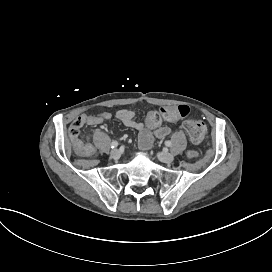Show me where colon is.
<instances>
[{
  "mask_svg": "<svg viewBox=\"0 0 272 272\" xmlns=\"http://www.w3.org/2000/svg\"><path fill=\"white\" fill-rule=\"evenodd\" d=\"M177 113L181 117H187L189 113V107L187 105H179L177 107ZM81 122L77 121L71 127L70 136H76L79 133V127ZM184 128L189 135L193 143L199 144L202 141L204 135V123L198 117H190L184 120Z\"/></svg>",
  "mask_w": 272,
  "mask_h": 272,
  "instance_id": "obj_1",
  "label": "colon"
}]
</instances>
